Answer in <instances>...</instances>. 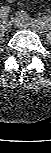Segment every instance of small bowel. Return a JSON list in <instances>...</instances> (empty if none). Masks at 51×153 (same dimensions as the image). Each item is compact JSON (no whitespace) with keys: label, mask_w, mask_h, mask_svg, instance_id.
I'll use <instances>...</instances> for the list:
<instances>
[{"label":"small bowel","mask_w":51,"mask_h":153,"mask_svg":"<svg viewBox=\"0 0 51 153\" xmlns=\"http://www.w3.org/2000/svg\"><path fill=\"white\" fill-rule=\"evenodd\" d=\"M7 2H9V3H12V2H14L15 0H6Z\"/></svg>","instance_id":"c3829d8e"}]
</instances>
